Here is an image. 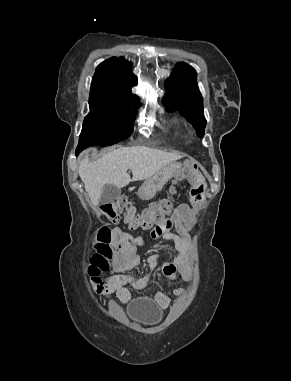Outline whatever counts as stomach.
I'll return each mask as SVG.
<instances>
[{
  "instance_id": "stomach-1",
  "label": "stomach",
  "mask_w": 291,
  "mask_h": 381,
  "mask_svg": "<svg viewBox=\"0 0 291 381\" xmlns=\"http://www.w3.org/2000/svg\"><path fill=\"white\" fill-rule=\"evenodd\" d=\"M183 166V163L172 162L153 176L145 179L137 193L139 198L142 200L152 199L172 177L181 173Z\"/></svg>"
}]
</instances>
